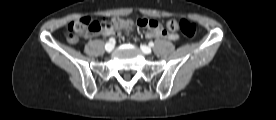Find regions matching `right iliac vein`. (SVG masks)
Segmentation results:
<instances>
[{
    "instance_id": "63e3f726",
    "label": "right iliac vein",
    "mask_w": 276,
    "mask_h": 120,
    "mask_svg": "<svg viewBox=\"0 0 276 120\" xmlns=\"http://www.w3.org/2000/svg\"><path fill=\"white\" fill-rule=\"evenodd\" d=\"M113 49H114V44H113V43H107V44L105 45V50H106L107 52H111Z\"/></svg>"
}]
</instances>
